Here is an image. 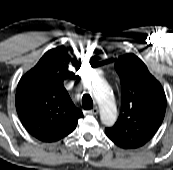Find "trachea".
<instances>
[{"instance_id": "obj_1", "label": "trachea", "mask_w": 173, "mask_h": 170, "mask_svg": "<svg viewBox=\"0 0 173 170\" xmlns=\"http://www.w3.org/2000/svg\"><path fill=\"white\" fill-rule=\"evenodd\" d=\"M81 102L83 109L90 110L93 108V101L89 94H84Z\"/></svg>"}]
</instances>
